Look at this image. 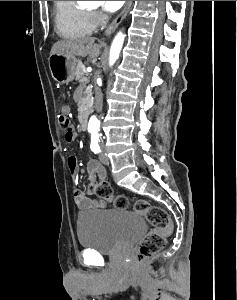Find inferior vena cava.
<instances>
[{
	"instance_id": "602c4592",
	"label": "inferior vena cava",
	"mask_w": 237,
	"mask_h": 300,
	"mask_svg": "<svg viewBox=\"0 0 237 300\" xmlns=\"http://www.w3.org/2000/svg\"><path fill=\"white\" fill-rule=\"evenodd\" d=\"M107 21V19H106ZM103 107V95L100 91H96L95 93V109L97 113H101Z\"/></svg>"
}]
</instances>
